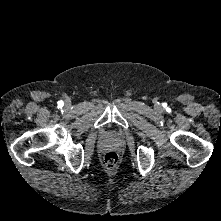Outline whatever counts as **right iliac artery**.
Wrapping results in <instances>:
<instances>
[{
  "mask_svg": "<svg viewBox=\"0 0 221 221\" xmlns=\"http://www.w3.org/2000/svg\"><path fill=\"white\" fill-rule=\"evenodd\" d=\"M58 105H59V106H63V105H64L63 101H59V102H58Z\"/></svg>",
  "mask_w": 221,
  "mask_h": 221,
  "instance_id": "obj_1",
  "label": "right iliac artery"
}]
</instances>
